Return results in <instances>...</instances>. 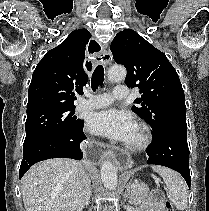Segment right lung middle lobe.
I'll list each match as a JSON object with an SVG mask.
<instances>
[{
	"label": "right lung middle lobe",
	"instance_id": "dd1d6c3e",
	"mask_svg": "<svg viewBox=\"0 0 209 211\" xmlns=\"http://www.w3.org/2000/svg\"><path fill=\"white\" fill-rule=\"evenodd\" d=\"M73 108H43L27 112L25 123L26 138L23 151L53 136L73 132L84 125V121L76 120Z\"/></svg>",
	"mask_w": 209,
	"mask_h": 211
}]
</instances>
